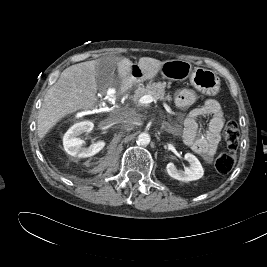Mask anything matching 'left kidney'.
<instances>
[{"label":"left kidney","mask_w":267,"mask_h":267,"mask_svg":"<svg viewBox=\"0 0 267 267\" xmlns=\"http://www.w3.org/2000/svg\"><path fill=\"white\" fill-rule=\"evenodd\" d=\"M185 159L189 162L190 165L189 167H185L184 170H178L173 163H168L166 166L168 175L176 180L183 182L200 179L204 174V170L200 161L191 153L185 154Z\"/></svg>","instance_id":"5707ae66"}]
</instances>
